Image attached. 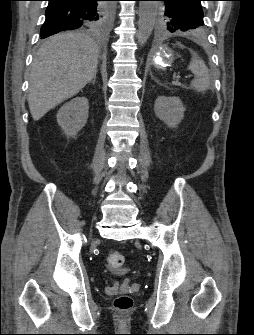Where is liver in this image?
<instances>
[{
    "instance_id": "liver-1",
    "label": "liver",
    "mask_w": 254,
    "mask_h": 335,
    "mask_svg": "<svg viewBox=\"0 0 254 335\" xmlns=\"http://www.w3.org/2000/svg\"><path fill=\"white\" fill-rule=\"evenodd\" d=\"M98 44L75 32L59 33L37 51L29 79L28 104L34 121L76 95L97 73Z\"/></svg>"
}]
</instances>
